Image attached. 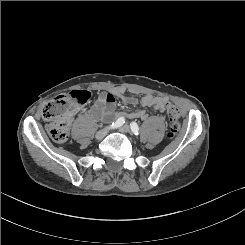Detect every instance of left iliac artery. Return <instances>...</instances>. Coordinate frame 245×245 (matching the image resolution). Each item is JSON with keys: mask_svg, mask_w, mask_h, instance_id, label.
I'll return each mask as SVG.
<instances>
[{"mask_svg": "<svg viewBox=\"0 0 245 245\" xmlns=\"http://www.w3.org/2000/svg\"><path fill=\"white\" fill-rule=\"evenodd\" d=\"M130 127H131L132 132L135 135H139V126H138V124L136 122H131L130 123Z\"/></svg>", "mask_w": 245, "mask_h": 245, "instance_id": "1", "label": "left iliac artery"}]
</instances>
